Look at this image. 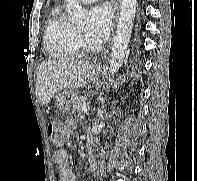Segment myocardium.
<instances>
[{
  "label": "myocardium",
  "mask_w": 197,
  "mask_h": 181,
  "mask_svg": "<svg viewBox=\"0 0 197 181\" xmlns=\"http://www.w3.org/2000/svg\"><path fill=\"white\" fill-rule=\"evenodd\" d=\"M75 38L79 48L83 51H93L96 49V46L93 45L85 36L81 35L77 30H75Z\"/></svg>",
  "instance_id": "obj_1"
}]
</instances>
